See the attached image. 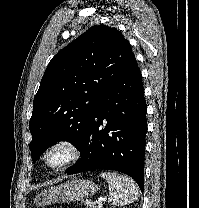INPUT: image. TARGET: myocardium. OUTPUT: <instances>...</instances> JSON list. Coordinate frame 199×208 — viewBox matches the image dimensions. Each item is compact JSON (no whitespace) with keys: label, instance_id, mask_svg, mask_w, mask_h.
Listing matches in <instances>:
<instances>
[{"label":"myocardium","instance_id":"myocardium-1","mask_svg":"<svg viewBox=\"0 0 199 208\" xmlns=\"http://www.w3.org/2000/svg\"><path fill=\"white\" fill-rule=\"evenodd\" d=\"M65 148L68 151V158L59 164H50L48 156L56 148ZM82 150L80 145L73 139L63 137L50 142L44 149L42 159L44 165L52 171H62L75 164L81 158Z\"/></svg>","mask_w":199,"mask_h":208}]
</instances>
